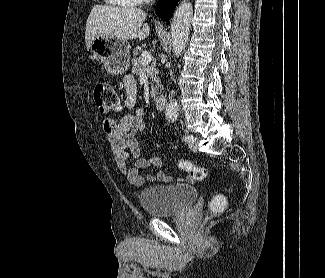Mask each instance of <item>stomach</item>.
Listing matches in <instances>:
<instances>
[{"label": "stomach", "mask_w": 325, "mask_h": 278, "mask_svg": "<svg viewBox=\"0 0 325 278\" xmlns=\"http://www.w3.org/2000/svg\"><path fill=\"white\" fill-rule=\"evenodd\" d=\"M90 50L111 74L118 75L127 71L130 62V44L127 40L98 35L93 39Z\"/></svg>", "instance_id": "stomach-1"}]
</instances>
